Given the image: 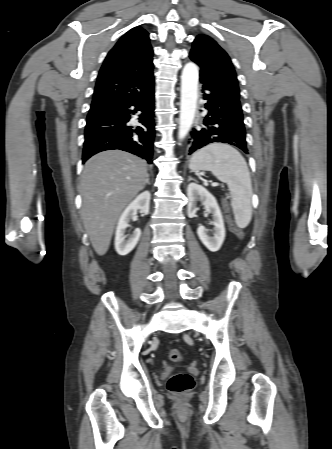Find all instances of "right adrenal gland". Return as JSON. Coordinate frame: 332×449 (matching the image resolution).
I'll list each match as a JSON object with an SVG mask.
<instances>
[{"mask_svg":"<svg viewBox=\"0 0 332 449\" xmlns=\"http://www.w3.org/2000/svg\"><path fill=\"white\" fill-rule=\"evenodd\" d=\"M146 184H150V181H149V175H148V177H147Z\"/></svg>","mask_w":332,"mask_h":449,"instance_id":"1","label":"right adrenal gland"}]
</instances>
